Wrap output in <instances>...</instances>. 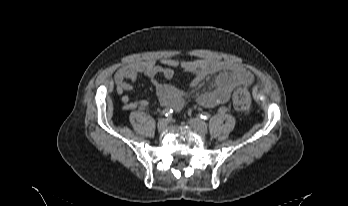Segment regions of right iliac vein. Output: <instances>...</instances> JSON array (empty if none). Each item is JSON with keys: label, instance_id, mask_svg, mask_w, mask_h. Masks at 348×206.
<instances>
[{"label": "right iliac vein", "instance_id": "63e3f726", "mask_svg": "<svg viewBox=\"0 0 348 206\" xmlns=\"http://www.w3.org/2000/svg\"><path fill=\"white\" fill-rule=\"evenodd\" d=\"M167 125H168V121L166 119H160L157 123V128L159 130H164L166 129Z\"/></svg>", "mask_w": 348, "mask_h": 206}]
</instances>
